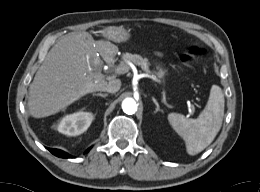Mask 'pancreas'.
Returning a JSON list of instances; mask_svg holds the SVG:
<instances>
[{
    "instance_id": "1",
    "label": "pancreas",
    "mask_w": 260,
    "mask_h": 192,
    "mask_svg": "<svg viewBox=\"0 0 260 192\" xmlns=\"http://www.w3.org/2000/svg\"><path fill=\"white\" fill-rule=\"evenodd\" d=\"M123 58L134 63L135 65L141 66L142 70H144L147 73H151L149 69V62L146 58L141 57L140 55L137 54H131V53H126L123 55ZM126 64L124 61L122 62ZM127 65V64H126Z\"/></svg>"
}]
</instances>
